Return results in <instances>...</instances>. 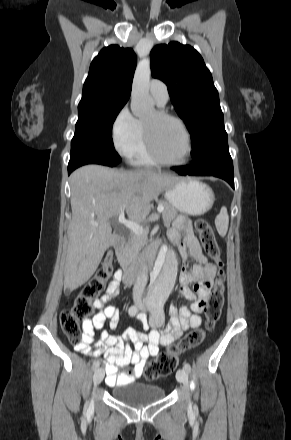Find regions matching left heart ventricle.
I'll return each instance as SVG.
<instances>
[{
  "instance_id": "1",
  "label": "left heart ventricle",
  "mask_w": 291,
  "mask_h": 440,
  "mask_svg": "<svg viewBox=\"0 0 291 440\" xmlns=\"http://www.w3.org/2000/svg\"><path fill=\"white\" fill-rule=\"evenodd\" d=\"M143 122L151 129L154 144L165 160L179 162L185 158L186 137L176 122L159 118L156 111L145 117Z\"/></svg>"
}]
</instances>
